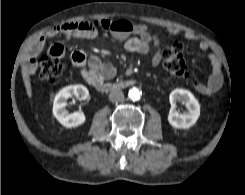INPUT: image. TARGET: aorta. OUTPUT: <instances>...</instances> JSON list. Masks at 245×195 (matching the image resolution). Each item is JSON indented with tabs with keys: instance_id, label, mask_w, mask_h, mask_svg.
<instances>
[{
	"instance_id": "762f6f07",
	"label": "aorta",
	"mask_w": 245,
	"mask_h": 195,
	"mask_svg": "<svg viewBox=\"0 0 245 195\" xmlns=\"http://www.w3.org/2000/svg\"><path fill=\"white\" fill-rule=\"evenodd\" d=\"M128 96L132 101H138L141 97V93L139 89L133 87L129 90Z\"/></svg>"
}]
</instances>
